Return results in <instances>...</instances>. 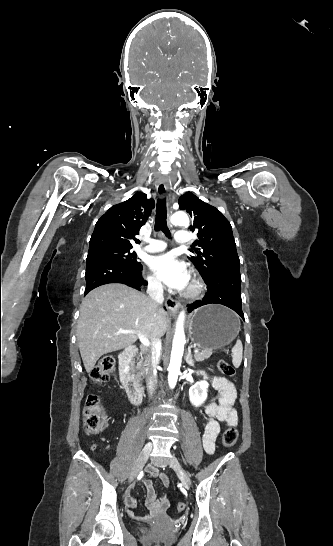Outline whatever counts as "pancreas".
I'll return each mask as SVG.
<instances>
[{
	"mask_svg": "<svg viewBox=\"0 0 333 546\" xmlns=\"http://www.w3.org/2000/svg\"><path fill=\"white\" fill-rule=\"evenodd\" d=\"M213 354V349H203L201 352L195 353L194 357L195 360L198 362L204 361L205 359H208ZM146 363L147 360L144 361V358L141 357V360L138 363V369H139V376L143 375L146 371ZM148 373H150V368L148 369Z\"/></svg>",
	"mask_w": 333,
	"mask_h": 546,
	"instance_id": "cf45deb5",
	"label": "pancreas"
}]
</instances>
